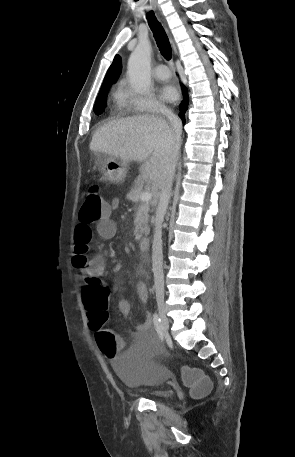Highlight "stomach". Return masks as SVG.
<instances>
[{
	"mask_svg": "<svg viewBox=\"0 0 295 457\" xmlns=\"http://www.w3.org/2000/svg\"><path fill=\"white\" fill-rule=\"evenodd\" d=\"M98 158L101 162V170L103 172L104 179L111 183L122 182L128 172V162L113 156H105V154H98Z\"/></svg>",
	"mask_w": 295,
	"mask_h": 457,
	"instance_id": "1",
	"label": "stomach"
}]
</instances>
